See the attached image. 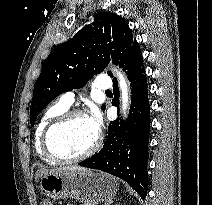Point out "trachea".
I'll use <instances>...</instances> for the list:
<instances>
[{
	"label": "trachea",
	"mask_w": 212,
	"mask_h": 205,
	"mask_svg": "<svg viewBox=\"0 0 212 205\" xmlns=\"http://www.w3.org/2000/svg\"><path fill=\"white\" fill-rule=\"evenodd\" d=\"M106 93H111V91L110 90H107Z\"/></svg>",
	"instance_id": "3493384b"
}]
</instances>
